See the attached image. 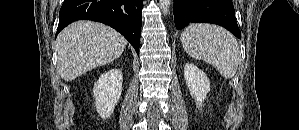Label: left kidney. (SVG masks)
Returning <instances> with one entry per match:
<instances>
[{
  "label": "left kidney",
  "mask_w": 299,
  "mask_h": 130,
  "mask_svg": "<svg viewBox=\"0 0 299 130\" xmlns=\"http://www.w3.org/2000/svg\"><path fill=\"white\" fill-rule=\"evenodd\" d=\"M184 77L190 94L195 98L196 104L201 106L210 91V82L206 74L195 65L187 63L184 66Z\"/></svg>",
  "instance_id": "1"
}]
</instances>
